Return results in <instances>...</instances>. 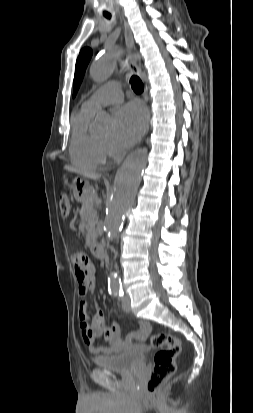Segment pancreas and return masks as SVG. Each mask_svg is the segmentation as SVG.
I'll return each mask as SVG.
<instances>
[{
  "mask_svg": "<svg viewBox=\"0 0 253 413\" xmlns=\"http://www.w3.org/2000/svg\"><path fill=\"white\" fill-rule=\"evenodd\" d=\"M95 196L89 195L82 204L81 216L86 220V245L92 246L96 241L95 225L97 223V211L94 208Z\"/></svg>",
  "mask_w": 253,
  "mask_h": 413,
  "instance_id": "1",
  "label": "pancreas"
}]
</instances>
